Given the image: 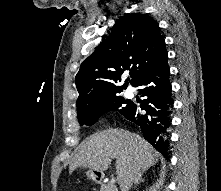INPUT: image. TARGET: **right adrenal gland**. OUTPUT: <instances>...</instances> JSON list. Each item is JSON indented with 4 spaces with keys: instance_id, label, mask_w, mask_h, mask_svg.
<instances>
[{
    "instance_id": "right-adrenal-gland-1",
    "label": "right adrenal gland",
    "mask_w": 221,
    "mask_h": 191,
    "mask_svg": "<svg viewBox=\"0 0 221 191\" xmlns=\"http://www.w3.org/2000/svg\"><path fill=\"white\" fill-rule=\"evenodd\" d=\"M143 172H140L136 175L135 179H134V183L135 184H140L141 182H144V179L142 178Z\"/></svg>"
}]
</instances>
